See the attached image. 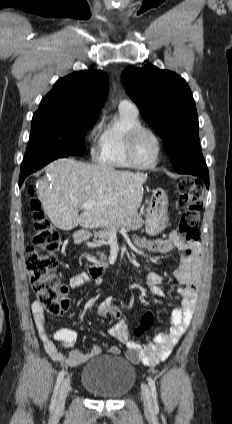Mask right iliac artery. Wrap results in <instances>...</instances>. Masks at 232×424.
I'll return each instance as SVG.
<instances>
[{
    "mask_svg": "<svg viewBox=\"0 0 232 424\" xmlns=\"http://www.w3.org/2000/svg\"><path fill=\"white\" fill-rule=\"evenodd\" d=\"M64 375H65V372H64V370H62L57 377V381H56V384H55V388H54V392H53V396H52V400H51V404H50V411L51 412H53L55 410L58 390H59L60 385L63 381Z\"/></svg>",
    "mask_w": 232,
    "mask_h": 424,
    "instance_id": "obj_1",
    "label": "right iliac artery"
}]
</instances>
